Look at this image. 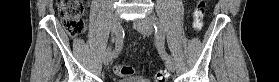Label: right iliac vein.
<instances>
[{"mask_svg": "<svg viewBox=\"0 0 279 82\" xmlns=\"http://www.w3.org/2000/svg\"><path fill=\"white\" fill-rule=\"evenodd\" d=\"M122 19L121 17L116 14L112 20V42H114L115 35L117 34L118 30L121 28ZM112 61V52L111 46L107 48L103 56V62L105 65H109Z\"/></svg>", "mask_w": 279, "mask_h": 82, "instance_id": "63e3f726", "label": "right iliac vein"}]
</instances>
